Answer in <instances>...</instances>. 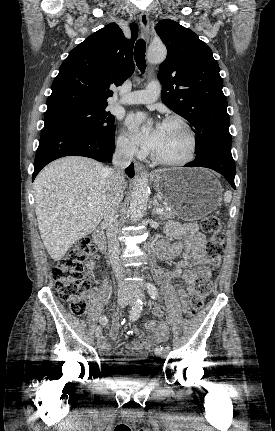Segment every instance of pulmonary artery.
Listing matches in <instances>:
<instances>
[{
  "mask_svg": "<svg viewBox=\"0 0 275 431\" xmlns=\"http://www.w3.org/2000/svg\"><path fill=\"white\" fill-rule=\"evenodd\" d=\"M160 95V84L157 81L150 82L146 89L134 91L121 100L125 104H150L155 102Z\"/></svg>",
  "mask_w": 275,
  "mask_h": 431,
  "instance_id": "1",
  "label": "pulmonary artery"
}]
</instances>
